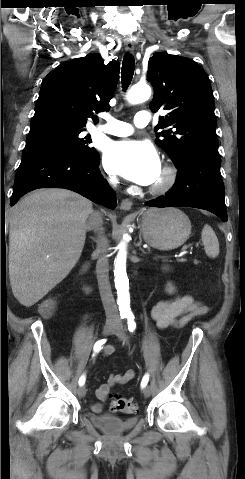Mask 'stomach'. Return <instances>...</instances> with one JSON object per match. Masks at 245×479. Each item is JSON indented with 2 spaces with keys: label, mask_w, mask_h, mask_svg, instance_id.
I'll use <instances>...</instances> for the list:
<instances>
[{
  "label": "stomach",
  "mask_w": 245,
  "mask_h": 479,
  "mask_svg": "<svg viewBox=\"0 0 245 479\" xmlns=\"http://www.w3.org/2000/svg\"><path fill=\"white\" fill-rule=\"evenodd\" d=\"M141 232L150 246L172 250L183 245L191 234V222L177 208L149 209L142 215Z\"/></svg>",
  "instance_id": "obj_1"
}]
</instances>
